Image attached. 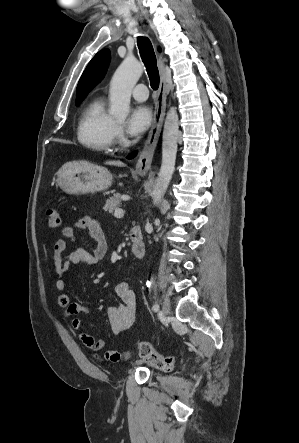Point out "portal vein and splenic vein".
<instances>
[{"label": "portal vein and splenic vein", "mask_w": 299, "mask_h": 443, "mask_svg": "<svg viewBox=\"0 0 299 443\" xmlns=\"http://www.w3.org/2000/svg\"><path fill=\"white\" fill-rule=\"evenodd\" d=\"M123 215H124L123 209H116L115 212H114V216L116 218H121V217H123Z\"/></svg>", "instance_id": "1"}]
</instances>
